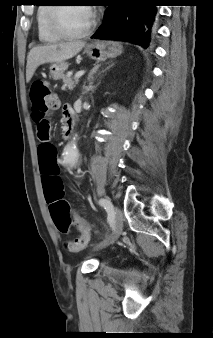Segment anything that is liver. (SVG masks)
<instances>
[{
	"label": "liver",
	"mask_w": 213,
	"mask_h": 338,
	"mask_svg": "<svg viewBox=\"0 0 213 338\" xmlns=\"http://www.w3.org/2000/svg\"><path fill=\"white\" fill-rule=\"evenodd\" d=\"M85 46L83 41L48 44L34 47L27 57L26 81L29 82L36 69L44 63L62 62L77 55Z\"/></svg>",
	"instance_id": "1"
}]
</instances>
